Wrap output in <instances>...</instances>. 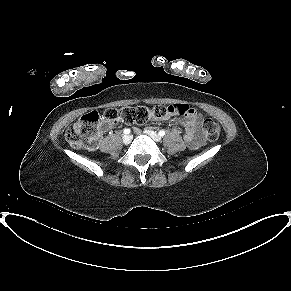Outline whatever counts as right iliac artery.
<instances>
[{
    "label": "right iliac artery",
    "mask_w": 291,
    "mask_h": 291,
    "mask_svg": "<svg viewBox=\"0 0 291 291\" xmlns=\"http://www.w3.org/2000/svg\"><path fill=\"white\" fill-rule=\"evenodd\" d=\"M123 132H124V134H129L131 132V130L127 128V129H124Z\"/></svg>",
    "instance_id": "obj_1"
}]
</instances>
